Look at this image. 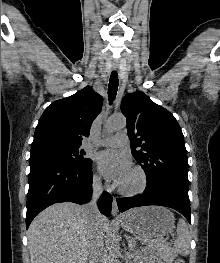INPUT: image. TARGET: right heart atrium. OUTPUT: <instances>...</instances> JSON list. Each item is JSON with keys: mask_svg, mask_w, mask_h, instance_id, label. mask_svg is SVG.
I'll return each mask as SVG.
<instances>
[{"mask_svg": "<svg viewBox=\"0 0 220 263\" xmlns=\"http://www.w3.org/2000/svg\"><path fill=\"white\" fill-rule=\"evenodd\" d=\"M92 182L93 185L97 188L101 187L102 185L101 177L96 172H94L92 175Z\"/></svg>", "mask_w": 220, "mask_h": 263, "instance_id": "d8ad5b80", "label": "right heart atrium"}]
</instances>
